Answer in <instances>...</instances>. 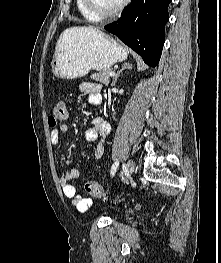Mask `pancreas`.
Here are the masks:
<instances>
[{
  "label": "pancreas",
  "instance_id": "cf45deb5",
  "mask_svg": "<svg viewBox=\"0 0 221 263\" xmlns=\"http://www.w3.org/2000/svg\"><path fill=\"white\" fill-rule=\"evenodd\" d=\"M112 70L109 69V70H105V71H100L98 73H93L91 75V79L95 80V81H98L106 86H108L109 82H110V72Z\"/></svg>",
  "mask_w": 221,
  "mask_h": 263
}]
</instances>
